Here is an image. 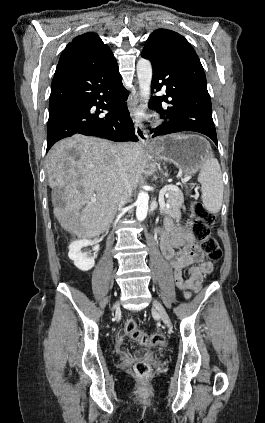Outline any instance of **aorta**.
<instances>
[{"label": "aorta", "instance_id": "762f6f07", "mask_svg": "<svg viewBox=\"0 0 265 423\" xmlns=\"http://www.w3.org/2000/svg\"><path fill=\"white\" fill-rule=\"evenodd\" d=\"M137 77L140 88V94L145 99L147 104L152 81V66L149 60L140 58L137 62ZM149 196L145 191H140L135 202L136 204V218L143 221L148 212Z\"/></svg>", "mask_w": 265, "mask_h": 423}]
</instances>
